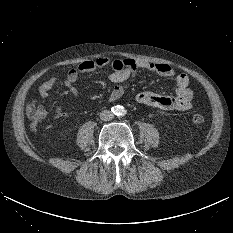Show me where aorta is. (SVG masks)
<instances>
[{"mask_svg": "<svg viewBox=\"0 0 233 233\" xmlns=\"http://www.w3.org/2000/svg\"><path fill=\"white\" fill-rule=\"evenodd\" d=\"M125 112L124 108L123 107H119L117 110H116V114L117 115H123Z\"/></svg>", "mask_w": 233, "mask_h": 233, "instance_id": "1", "label": "aorta"}]
</instances>
